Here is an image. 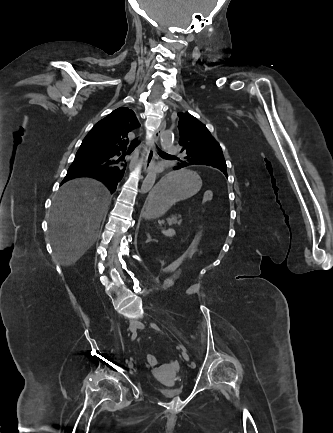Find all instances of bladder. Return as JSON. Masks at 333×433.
Masks as SVG:
<instances>
[{"label":"bladder","instance_id":"bladder-1","mask_svg":"<svg viewBox=\"0 0 333 433\" xmlns=\"http://www.w3.org/2000/svg\"><path fill=\"white\" fill-rule=\"evenodd\" d=\"M158 393L164 399H175L181 397L184 391L182 387H168L159 389Z\"/></svg>","mask_w":333,"mask_h":433}]
</instances>
